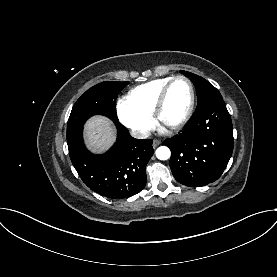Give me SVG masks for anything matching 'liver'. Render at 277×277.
Masks as SVG:
<instances>
[{"instance_id":"liver-1","label":"liver","mask_w":277,"mask_h":277,"mask_svg":"<svg viewBox=\"0 0 277 277\" xmlns=\"http://www.w3.org/2000/svg\"><path fill=\"white\" fill-rule=\"evenodd\" d=\"M85 138L91 151L101 153L114 143L116 132L106 117L95 116L85 125Z\"/></svg>"}]
</instances>
